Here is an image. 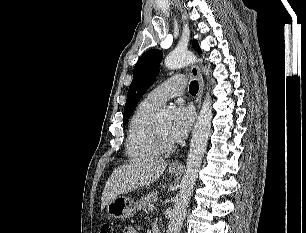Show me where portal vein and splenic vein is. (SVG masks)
<instances>
[{
	"label": "portal vein and splenic vein",
	"mask_w": 306,
	"mask_h": 233,
	"mask_svg": "<svg viewBox=\"0 0 306 233\" xmlns=\"http://www.w3.org/2000/svg\"><path fill=\"white\" fill-rule=\"evenodd\" d=\"M154 208H155V207H154L153 204H149V205H148V210H154Z\"/></svg>",
	"instance_id": "obj_1"
}]
</instances>
